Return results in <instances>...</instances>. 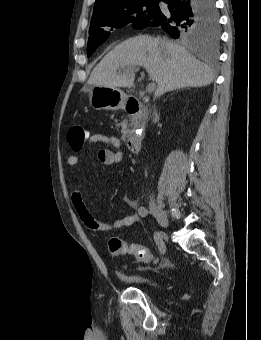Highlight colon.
Listing matches in <instances>:
<instances>
[{
	"label": "colon",
	"mask_w": 261,
	"mask_h": 340,
	"mask_svg": "<svg viewBox=\"0 0 261 340\" xmlns=\"http://www.w3.org/2000/svg\"><path fill=\"white\" fill-rule=\"evenodd\" d=\"M87 131L81 125H73L67 134L68 142L71 148L75 151L80 150L86 141ZM108 250L112 256L131 255L138 261L146 264H156L158 259L151 253V251L135 243H127L118 237H113L108 243ZM169 267L168 263L164 264Z\"/></svg>",
	"instance_id": "obj_1"
}]
</instances>
